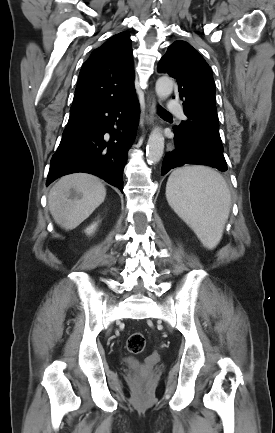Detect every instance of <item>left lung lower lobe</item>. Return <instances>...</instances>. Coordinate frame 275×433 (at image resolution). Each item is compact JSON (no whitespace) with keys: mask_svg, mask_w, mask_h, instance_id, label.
I'll list each match as a JSON object with an SVG mask.
<instances>
[{"mask_svg":"<svg viewBox=\"0 0 275 433\" xmlns=\"http://www.w3.org/2000/svg\"><path fill=\"white\" fill-rule=\"evenodd\" d=\"M174 145L175 149L165 155L162 164V175H165L173 168L183 166L185 164H200L208 165L217 168L220 171L226 169L215 166L207 157L200 154L194 147L190 140L179 136L174 131Z\"/></svg>","mask_w":275,"mask_h":433,"instance_id":"1","label":"left lung lower lobe"}]
</instances>
